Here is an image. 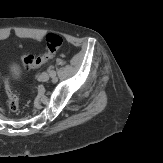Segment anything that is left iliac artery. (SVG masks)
Listing matches in <instances>:
<instances>
[{
	"mask_svg": "<svg viewBox=\"0 0 163 163\" xmlns=\"http://www.w3.org/2000/svg\"><path fill=\"white\" fill-rule=\"evenodd\" d=\"M48 72H49V74H50V76H51L52 78H54V77L56 76V72L54 71L53 66H50V67L48 68Z\"/></svg>",
	"mask_w": 163,
	"mask_h": 163,
	"instance_id": "obj_1",
	"label": "left iliac artery"
}]
</instances>
